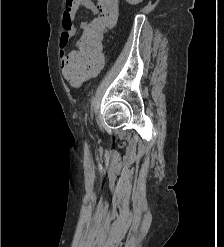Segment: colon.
<instances>
[{"mask_svg":"<svg viewBox=\"0 0 224 247\" xmlns=\"http://www.w3.org/2000/svg\"><path fill=\"white\" fill-rule=\"evenodd\" d=\"M74 0H66L64 10L69 12ZM119 0H98V17L88 24L79 42V52L63 62L64 77L73 84L94 74L101 66L98 56L104 33L116 25Z\"/></svg>","mask_w":224,"mask_h":247,"instance_id":"1","label":"colon"}]
</instances>
